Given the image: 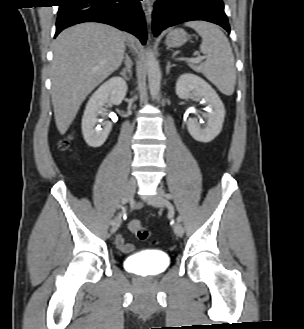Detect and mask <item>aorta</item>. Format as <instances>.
Returning <instances> with one entry per match:
<instances>
[{"label": "aorta", "mask_w": 304, "mask_h": 329, "mask_svg": "<svg viewBox=\"0 0 304 329\" xmlns=\"http://www.w3.org/2000/svg\"><path fill=\"white\" fill-rule=\"evenodd\" d=\"M146 66H147L149 90L152 99H155L160 90L161 74H160L159 64L154 56V53L150 49L146 53Z\"/></svg>", "instance_id": "obj_1"}]
</instances>
